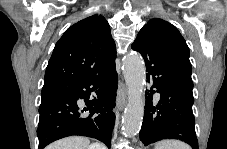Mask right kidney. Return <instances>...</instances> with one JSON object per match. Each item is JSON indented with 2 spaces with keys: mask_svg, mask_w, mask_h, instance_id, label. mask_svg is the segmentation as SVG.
<instances>
[{
  "mask_svg": "<svg viewBox=\"0 0 227 149\" xmlns=\"http://www.w3.org/2000/svg\"><path fill=\"white\" fill-rule=\"evenodd\" d=\"M88 149H102V147L99 144H91Z\"/></svg>",
  "mask_w": 227,
  "mask_h": 149,
  "instance_id": "ca27d5eb",
  "label": "right kidney"
}]
</instances>
